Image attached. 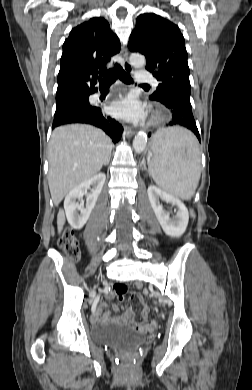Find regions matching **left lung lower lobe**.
<instances>
[{
    "mask_svg": "<svg viewBox=\"0 0 252 390\" xmlns=\"http://www.w3.org/2000/svg\"><path fill=\"white\" fill-rule=\"evenodd\" d=\"M159 101L172 112V121H170L168 125H180L190 129L201 142L196 122L192 113L190 95L171 91L166 92L163 98H161Z\"/></svg>",
    "mask_w": 252,
    "mask_h": 390,
    "instance_id": "left-lung-lower-lobe-1",
    "label": "left lung lower lobe"
}]
</instances>
